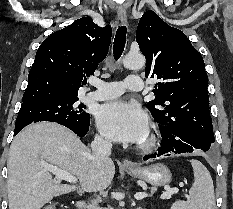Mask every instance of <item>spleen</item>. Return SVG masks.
Here are the masks:
<instances>
[{"mask_svg": "<svg viewBox=\"0 0 233 209\" xmlns=\"http://www.w3.org/2000/svg\"><path fill=\"white\" fill-rule=\"evenodd\" d=\"M194 183L188 201H176L171 209H216L213 180L207 168L198 160H191Z\"/></svg>", "mask_w": 233, "mask_h": 209, "instance_id": "spleen-1", "label": "spleen"}]
</instances>
